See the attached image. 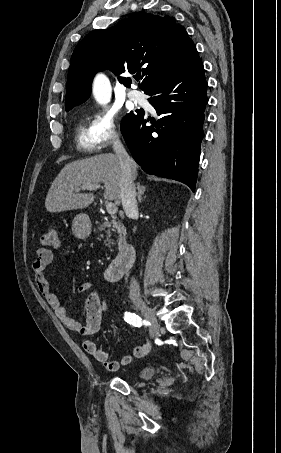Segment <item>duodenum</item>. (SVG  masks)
<instances>
[{
	"instance_id": "1",
	"label": "duodenum",
	"mask_w": 281,
	"mask_h": 453,
	"mask_svg": "<svg viewBox=\"0 0 281 453\" xmlns=\"http://www.w3.org/2000/svg\"><path fill=\"white\" fill-rule=\"evenodd\" d=\"M135 255V248L132 245H123L115 259L108 265L104 272L106 280L113 282L120 279L132 266Z\"/></svg>"
}]
</instances>
